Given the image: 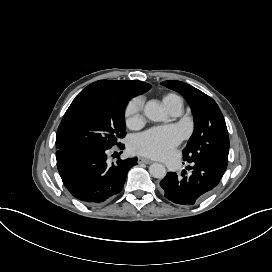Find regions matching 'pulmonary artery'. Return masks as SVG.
<instances>
[{"label":"pulmonary artery","instance_id":"e3ab8cb5","mask_svg":"<svg viewBox=\"0 0 272 272\" xmlns=\"http://www.w3.org/2000/svg\"><path fill=\"white\" fill-rule=\"evenodd\" d=\"M183 110V101L178 96L173 100L172 106H171V114L174 116H178L181 114Z\"/></svg>","mask_w":272,"mask_h":272}]
</instances>
